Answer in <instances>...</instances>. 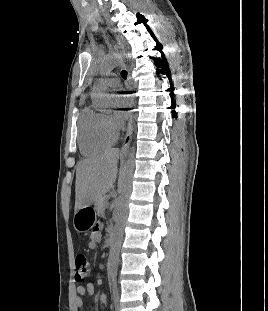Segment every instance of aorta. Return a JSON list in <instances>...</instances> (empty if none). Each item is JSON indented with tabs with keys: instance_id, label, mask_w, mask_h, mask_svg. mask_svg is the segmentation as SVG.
I'll return each mask as SVG.
<instances>
[{
	"instance_id": "obj_1",
	"label": "aorta",
	"mask_w": 268,
	"mask_h": 311,
	"mask_svg": "<svg viewBox=\"0 0 268 311\" xmlns=\"http://www.w3.org/2000/svg\"><path fill=\"white\" fill-rule=\"evenodd\" d=\"M120 55H112L102 60L95 68L100 74H108L118 68L122 63ZM97 103L107 105L110 101L108 94L104 93L102 89L97 88ZM134 154L135 147L131 148L129 159L120 176L118 183L119 196L117 198V205L115 209V226L112 235V243L108 258V270L111 275L115 276L119 262V252L123 239L124 226L128 213L129 198L132 191V179L134 173Z\"/></svg>"
}]
</instances>
